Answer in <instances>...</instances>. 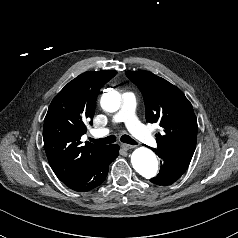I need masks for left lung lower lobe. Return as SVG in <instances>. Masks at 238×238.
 <instances>
[{"label": "left lung lower lobe", "instance_id": "left-lung-lower-lobe-1", "mask_svg": "<svg viewBox=\"0 0 238 238\" xmlns=\"http://www.w3.org/2000/svg\"><path fill=\"white\" fill-rule=\"evenodd\" d=\"M162 159L159 174L150 181L157 185H171L186 171L191 156L165 149H152Z\"/></svg>", "mask_w": 238, "mask_h": 238}]
</instances>
